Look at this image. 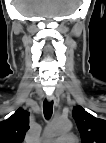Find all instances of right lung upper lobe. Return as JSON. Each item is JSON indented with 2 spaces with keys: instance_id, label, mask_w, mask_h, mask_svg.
I'll use <instances>...</instances> for the list:
<instances>
[{
  "instance_id": "cb5924a9",
  "label": "right lung upper lobe",
  "mask_w": 106,
  "mask_h": 143,
  "mask_svg": "<svg viewBox=\"0 0 106 143\" xmlns=\"http://www.w3.org/2000/svg\"><path fill=\"white\" fill-rule=\"evenodd\" d=\"M29 129V113L19 108L0 122V143H22Z\"/></svg>"
}]
</instances>
